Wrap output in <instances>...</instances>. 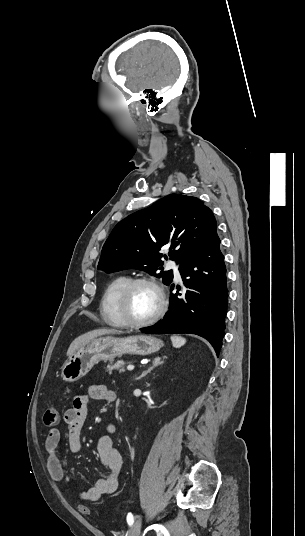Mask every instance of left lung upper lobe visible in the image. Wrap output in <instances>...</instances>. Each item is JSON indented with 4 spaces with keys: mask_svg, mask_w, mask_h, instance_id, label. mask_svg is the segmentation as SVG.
Segmentation results:
<instances>
[{
    "mask_svg": "<svg viewBox=\"0 0 305 536\" xmlns=\"http://www.w3.org/2000/svg\"><path fill=\"white\" fill-rule=\"evenodd\" d=\"M212 211L198 198L171 194L154 205L137 211L119 222L105 242L98 269L107 273L139 269L165 284L173 279L172 270H161V258L181 264L194 254L216 229ZM170 246L168 256L160 253Z\"/></svg>",
    "mask_w": 305,
    "mask_h": 536,
    "instance_id": "left-lung-upper-lobe-1",
    "label": "left lung upper lobe"
}]
</instances>
